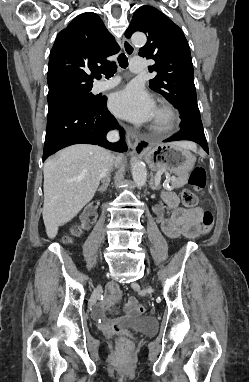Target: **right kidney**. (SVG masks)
I'll use <instances>...</instances> for the list:
<instances>
[{
	"label": "right kidney",
	"mask_w": 249,
	"mask_h": 382,
	"mask_svg": "<svg viewBox=\"0 0 249 382\" xmlns=\"http://www.w3.org/2000/svg\"><path fill=\"white\" fill-rule=\"evenodd\" d=\"M97 210V205L96 204H89L83 211L80 219L82 222V228L85 230H91L93 224L95 223V218L94 217H88L90 214L95 212Z\"/></svg>",
	"instance_id": "ca27d5eb"
}]
</instances>
